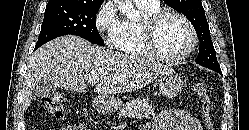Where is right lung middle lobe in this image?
Instances as JSON below:
<instances>
[{"label": "right lung middle lobe", "mask_w": 249, "mask_h": 130, "mask_svg": "<svg viewBox=\"0 0 249 130\" xmlns=\"http://www.w3.org/2000/svg\"><path fill=\"white\" fill-rule=\"evenodd\" d=\"M100 6L68 1L47 5L35 48L63 35H77L93 44L104 46L96 27V14Z\"/></svg>", "instance_id": "right-lung-middle-lobe-1"}]
</instances>
